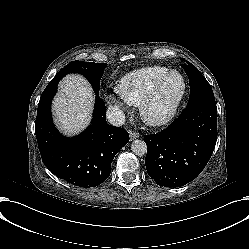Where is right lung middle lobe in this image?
Listing matches in <instances>:
<instances>
[{
    "instance_id": "1",
    "label": "right lung middle lobe",
    "mask_w": 249,
    "mask_h": 249,
    "mask_svg": "<svg viewBox=\"0 0 249 249\" xmlns=\"http://www.w3.org/2000/svg\"><path fill=\"white\" fill-rule=\"evenodd\" d=\"M107 66L105 63H94V62H82V61H73L62 68L57 75L60 79L68 73H80L84 75L96 94H99L100 88V79L104 73V69Z\"/></svg>"
}]
</instances>
